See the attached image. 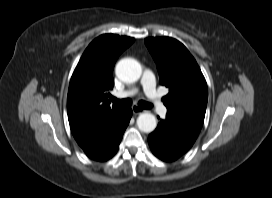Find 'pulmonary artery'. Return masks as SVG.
<instances>
[{"label": "pulmonary artery", "mask_w": 272, "mask_h": 198, "mask_svg": "<svg viewBox=\"0 0 272 198\" xmlns=\"http://www.w3.org/2000/svg\"><path fill=\"white\" fill-rule=\"evenodd\" d=\"M142 86H143L144 93L151 100L152 106L156 109V111L161 116H165L166 107L160 102V98L156 90L155 78L153 73L150 70H146L144 72L142 77ZM135 93H136L135 89L117 91L114 93V96L118 99H123V98L133 96Z\"/></svg>", "instance_id": "obj_1"}]
</instances>
